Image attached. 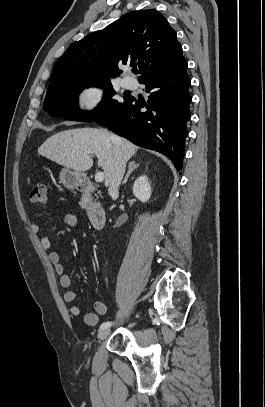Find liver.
Here are the masks:
<instances>
[{
	"mask_svg": "<svg viewBox=\"0 0 265 407\" xmlns=\"http://www.w3.org/2000/svg\"><path fill=\"white\" fill-rule=\"evenodd\" d=\"M111 133L97 128H77L61 131L49 137L38 149L47 159L78 172H85L93 165L92 157L104 171L105 185H109L114 166L115 145ZM126 161L137 152V146L118 137V143Z\"/></svg>",
	"mask_w": 265,
	"mask_h": 407,
	"instance_id": "liver-1",
	"label": "liver"
}]
</instances>
